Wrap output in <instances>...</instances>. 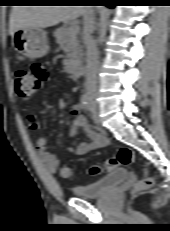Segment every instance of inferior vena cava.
Returning <instances> with one entry per match:
<instances>
[{
    "mask_svg": "<svg viewBox=\"0 0 170 231\" xmlns=\"http://www.w3.org/2000/svg\"><path fill=\"white\" fill-rule=\"evenodd\" d=\"M83 42L86 47V90L94 93L97 89V69L99 54L96 42L92 37L94 31L95 12L93 6H84L83 11Z\"/></svg>",
    "mask_w": 170,
    "mask_h": 231,
    "instance_id": "1",
    "label": "inferior vena cava"
}]
</instances>
